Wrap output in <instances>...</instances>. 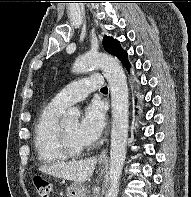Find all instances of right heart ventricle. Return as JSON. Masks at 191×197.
I'll return each instance as SVG.
<instances>
[{"label": "right heart ventricle", "instance_id": "1", "mask_svg": "<svg viewBox=\"0 0 191 197\" xmlns=\"http://www.w3.org/2000/svg\"><path fill=\"white\" fill-rule=\"evenodd\" d=\"M65 108L52 101L40 112L34 128V147L38 159L45 164L61 163L70 158L59 138V119Z\"/></svg>", "mask_w": 191, "mask_h": 197}]
</instances>
